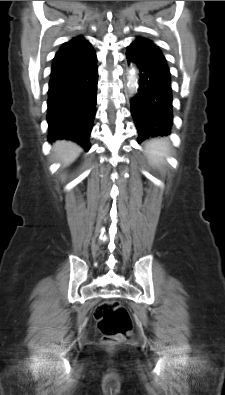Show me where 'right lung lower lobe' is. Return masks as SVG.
Instances as JSON below:
<instances>
[{
  "label": "right lung lower lobe",
  "mask_w": 225,
  "mask_h": 395,
  "mask_svg": "<svg viewBox=\"0 0 225 395\" xmlns=\"http://www.w3.org/2000/svg\"><path fill=\"white\" fill-rule=\"evenodd\" d=\"M97 59L66 72L51 74L48 90L47 121L50 142L72 140L86 151L96 113L98 82Z\"/></svg>",
  "instance_id": "obj_1"
}]
</instances>
